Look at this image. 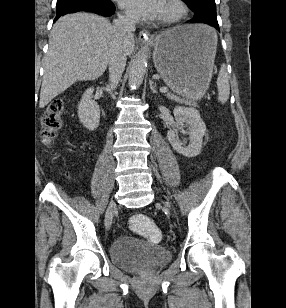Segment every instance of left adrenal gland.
<instances>
[{
    "label": "left adrenal gland",
    "instance_id": "left-adrenal-gland-1",
    "mask_svg": "<svg viewBox=\"0 0 286 308\" xmlns=\"http://www.w3.org/2000/svg\"><path fill=\"white\" fill-rule=\"evenodd\" d=\"M149 85H150L151 91H152L154 94H157L158 91L156 90V84H154L153 79L150 80Z\"/></svg>",
    "mask_w": 286,
    "mask_h": 308
}]
</instances>
